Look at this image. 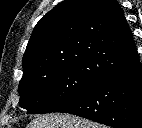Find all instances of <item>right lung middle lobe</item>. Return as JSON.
I'll list each match as a JSON object with an SVG mask.
<instances>
[{"label":"right lung middle lobe","mask_w":142,"mask_h":128,"mask_svg":"<svg viewBox=\"0 0 142 128\" xmlns=\"http://www.w3.org/2000/svg\"><path fill=\"white\" fill-rule=\"evenodd\" d=\"M97 81L91 72L81 65L32 74L20 81L19 105L27 109L30 114L55 112Z\"/></svg>","instance_id":"right-lung-middle-lobe-1"}]
</instances>
